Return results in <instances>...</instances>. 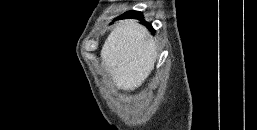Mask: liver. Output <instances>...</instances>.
Listing matches in <instances>:
<instances>
[{
	"instance_id": "6515ba94",
	"label": "liver",
	"mask_w": 257,
	"mask_h": 130,
	"mask_svg": "<svg viewBox=\"0 0 257 130\" xmlns=\"http://www.w3.org/2000/svg\"><path fill=\"white\" fill-rule=\"evenodd\" d=\"M156 42L136 20L116 24L102 50V64L118 89L134 91L154 69Z\"/></svg>"
}]
</instances>
